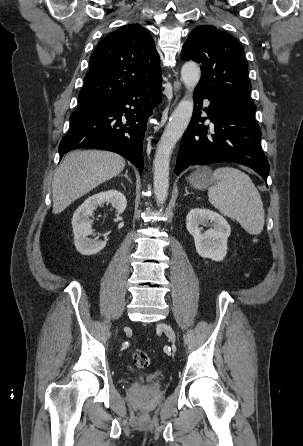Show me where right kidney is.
I'll return each mask as SVG.
<instances>
[{
  "label": "right kidney",
  "instance_id": "1",
  "mask_svg": "<svg viewBox=\"0 0 303 446\" xmlns=\"http://www.w3.org/2000/svg\"><path fill=\"white\" fill-rule=\"evenodd\" d=\"M105 202L110 203L116 211L121 214L127 206L126 197L117 190H108L87 198L74 212L72 218V228L74 234V244L77 251L83 255H94L100 252L106 241L89 238L93 235L90 217L98 206Z\"/></svg>",
  "mask_w": 303,
  "mask_h": 446
}]
</instances>
